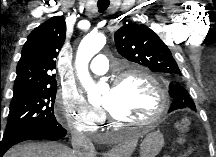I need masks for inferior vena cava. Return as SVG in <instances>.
I'll list each match as a JSON object with an SVG mask.
<instances>
[{
	"label": "inferior vena cava",
	"instance_id": "1",
	"mask_svg": "<svg viewBox=\"0 0 216 157\" xmlns=\"http://www.w3.org/2000/svg\"><path fill=\"white\" fill-rule=\"evenodd\" d=\"M72 147L75 157H92L94 146L90 139L80 131L72 132Z\"/></svg>",
	"mask_w": 216,
	"mask_h": 157
}]
</instances>
